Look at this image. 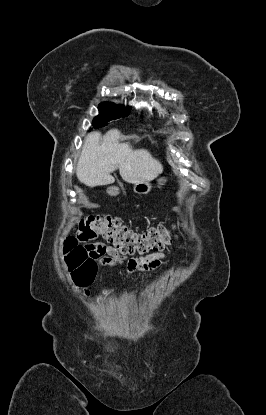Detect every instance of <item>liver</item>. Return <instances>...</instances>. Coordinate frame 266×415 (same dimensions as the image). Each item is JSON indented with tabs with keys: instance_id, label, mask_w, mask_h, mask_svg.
Here are the masks:
<instances>
[{
	"instance_id": "6515ba94",
	"label": "liver",
	"mask_w": 266,
	"mask_h": 415,
	"mask_svg": "<svg viewBox=\"0 0 266 415\" xmlns=\"http://www.w3.org/2000/svg\"><path fill=\"white\" fill-rule=\"evenodd\" d=\"M120 132L109 130L103 137L98 131L84 139L76 176L89 187L112 184L111 175L119 169L122 179L131 184L150 182L163 172L162 164L146 149L133 150L128 143H119Z\"/></svg>"
}]
</instances>
